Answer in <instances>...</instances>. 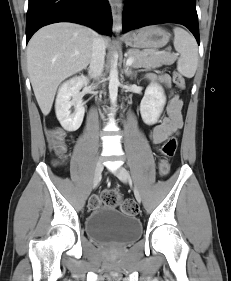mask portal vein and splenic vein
I'll return each mask as SVG.
<instances>
[{
    "instance_id": "18ae733b",
    "label": "portal vein and splenic vein",
    "mask_w": 231,
    "mask_h": 281,
    "mask_svg": "<svg viewBox=\"0 0 231 281\" xmlns=\"http://www.w3.org/2000/svg\"><path fill=\"white\" fill-rule=\"evenodd\" d=\"M133 62H134L133 58H128L127 61H126V65L130 66V65H132Z\"/></svg>"
}]
</instances>
